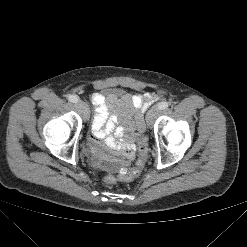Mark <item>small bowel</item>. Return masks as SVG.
I'll use <instances>...</instances> for the list:
<instances>
[{"label": "small bowel", "instance_id": "c3829d8e", "mask_svg": "<svg viewBox=\"0 0 247 247\" xmlns=\"http://www.w3.org/2000/svg\"><path fill=\"white\" fill-rule=\"evenodd\" d=\"M150 101V94L92 95L95 115L90 144L98 167L116 172L130 164L136 151L134 139L143 129V112ZM113 132L114 136L111 135ZM103 142L118 155L117 158L106 157L101 150Z\"/></svg>", "mask_w": 247, "mask_h": 247}]
</instances>
